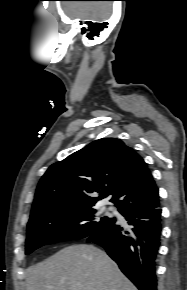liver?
I'll return each instance as SVG.
<instances>
[{
	"label": "liver",
	"instance_id": "obj_1",
	"mask_svg": "<svg viewBox=\"0 0 187 290\" xmlns=\"http://www.w3.org/2000/svg\"><path fill=\"white\" fill-rule=\"evenodd\" d=\"M26 290H137L93 245L68 246L27 270Z\"/></svg>",
	"mask_w": 187,
	"mask_h": 290
}]
</instances>
